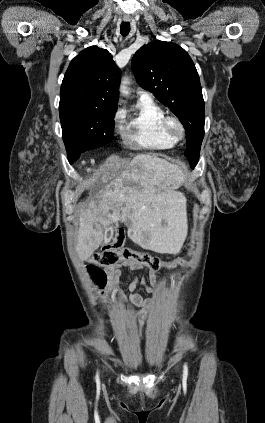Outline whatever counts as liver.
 Returning a JSON list of instances; mask_svg holds the SVG:
<instances>
[{"label": "liver", "mask_w": 265, "mask_h": 423, "mask_svg": "<svg viewBox=\"0 0 265 423\" xmlns=\"http://www.w3.org/2000/svg\"><path fill=\"white\" fill-rule=\"evenodd\" d=\"M99 177L105 186L80 213L75 249L81 261L101 245L104 228L118 221L127 224L128 237L142 248L180 252L188 232L186 198L176 191L186 177L181 167L155 154H138L128 165L112 155Z\"/></svg>", "instance_id": "6515ba94"}]
</instances>
